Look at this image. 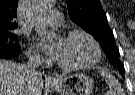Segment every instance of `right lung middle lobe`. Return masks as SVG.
<instances>
[{
	"mask_svg": "<svg viewBox=\"0 0 135 95\" xmlns=\"http://www.w3.org/2000/svg\"><path fill=\"white\" fill-rule=\"evenodd\" d=\"M17 42V35L13 34L11 30L0 31V51L19 49Z\"/></svg>",
	"mask_w": 135,
	"mask_h": 95,
	"instance_id": "1",
	"label": "right lung middle lobe"
}]
</instances>
